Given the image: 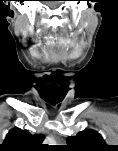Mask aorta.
<instances>
[{"label":"aorta","instance_id":"762f6f07","mask_svg":"<svg viewBox=\"0 0 118 151\" xmlns=\"http://www.w3.org/2000/svg\"><path fill=\"white\" fill-rule=\"evenodd\" d=\"M44 143L48 145H55V139L53 137H47Z\"/></svg>","mask_w":118,"mask_h":151}]
</instances>
